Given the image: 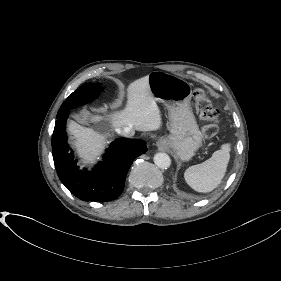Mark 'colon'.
<instances>
[{"mask_svg":"<svg viewBox=\"0 0 281 281\" xmlns=\"http://www.w3.org/2000/svg\"><path fill=\"white\" fill-rule=\"evenodd\" d=\"M197 109L203 121L202 135L205 139H211L218 134V111L213 107L212 101L202 89L194 93Z\"/></svg>","mask_w":281,"mask_h":281,"instance_id":"colon-1","label":"colon"}]
</instances>
